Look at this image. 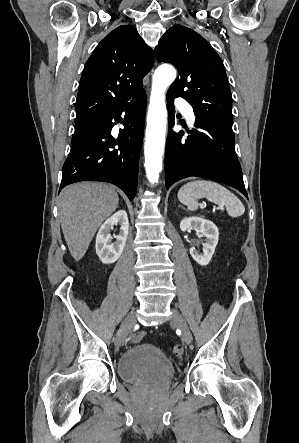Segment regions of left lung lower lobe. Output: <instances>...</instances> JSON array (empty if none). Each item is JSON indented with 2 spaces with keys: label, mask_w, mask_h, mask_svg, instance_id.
I'll use <instances>...</instances> for the list:
<instances>
[{
  "label": "left lung lower lobe",
  "mask_w": 299,
  "mask_h": 443,
  "mask_svg": "<svg viewBox=\"0 0 299 443\" xmlns=\"http://www.w3.org/2000/svg\"><path fill=\"white\" fill-rule=\"evenodd\" d=\"M174 98L167 94L170 128L175 120ZM194 126L188 139L182 138L183 132L170 130L165 150L166 188L182 178L197 176L227 184L247 197L233 131L200 117Z\"/></svg>",
  "instance_id": "0a47b994"
}]
</instances>
